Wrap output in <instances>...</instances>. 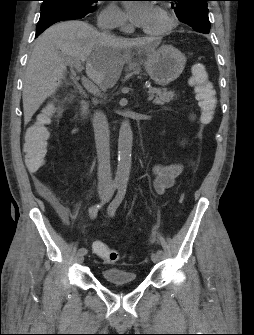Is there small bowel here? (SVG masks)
I'll list each match as a JSON object with an SVG mask.
<instances>
[{
  "instance_id": "1",
  "label": "small bowel",
  "mask_w": 254,
  "mask_h": 335,
  "mask_svg": "<svg viewBox=\"0 0 254 335\" xmlns=\"http://www.w3.org/2000/svg\"><path fill=\"white\" fill-rule=\"evenodd\" d=\"M46 159V158H45ZM182 165L181 164H172V165H159L155 168V180H154V188L158 194L165 193L168 189L173 187L175 184L176 178L182 172ZM68 222V218L65 220ZM104 245L103 242L96 241L93 244V251L96 254L94 247ZM99 256V255H98Z\"/></svg>"
}]
</instances>
